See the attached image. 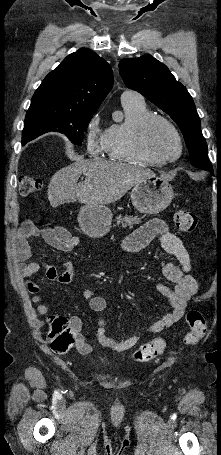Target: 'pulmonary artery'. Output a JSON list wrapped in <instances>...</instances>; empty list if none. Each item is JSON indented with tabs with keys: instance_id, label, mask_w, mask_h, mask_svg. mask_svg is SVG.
Returning <instances> with one entry per match:
<instances>
[{
	"instance_id": "pulmonary-artery-1",
	"label": "pulmonary artery",
	"mask_w": 221,
	"mask_h": 455,
	"mask_svg": "<svg viewBox=\"0 0 221 455\" xmlns=\"http://www.w3.org/2000/svg\"><path fill=\"white\" fill-rule=\"evenodd\" d=\"M121 100L135 101V102H144V99L141 94L134 90L126 89L121 94Z\"/></svg>"
}]
</instances>
